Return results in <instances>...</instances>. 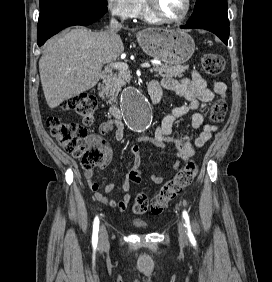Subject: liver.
<instances>
[{
  "instance_id": "6515ba94",
  "label": "liver",
  "mask_w": 272,
  "mask_h": 282,
  "mask_svg": "<svg viewBox=\"0 0 272 282\" xmlns=\"http://www.w3.org/2000/svg\"><path fill=\"white\" fill-rule=\"evenodd\" d=\"M124 51L117 32H94L84 28L48 40L39 60L41 84L50 108L57 107L94 87L104 64L114 62Z\"/></svg>"
}]
</instances>
